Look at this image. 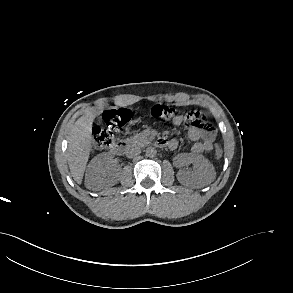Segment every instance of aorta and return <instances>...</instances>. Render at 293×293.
Instances as JSON below:
<instances>
[{"mask_svg": "<svg viewBox=\"0 0 293 293\" xmlns=\"http://www.w3.org/2000/svg\"><path fill=\"white\" fill-rule=\"evenodd\" d=\"M157 154V150L154 147H147L146 148V156L149 158L155 157Z\"/></svg>", "mask_w": 293, "mask_h": 293, "instance_id": "762f6f07", "label": "aorta"}]
</instances>
